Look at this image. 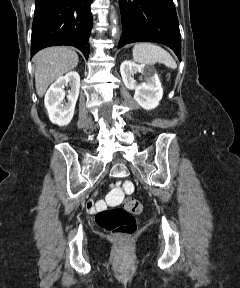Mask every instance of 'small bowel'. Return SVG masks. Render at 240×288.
Returning <instances> with one entry per match:
<instances>
[{"label":"small bowel","mask_w":240,"mask_h":288,"mask_svg":"<svg viewBox=\"0 0 240 288\" xmlns=\"http://www.w3.org/2000/svg\"><path fill=\"white\" fill-rule=\"evenodd\" d=\"M116 194H117V195H120V192L117 190V191H116Z\"/></svg>","instance_id":"obj_1"}]
</instances>
